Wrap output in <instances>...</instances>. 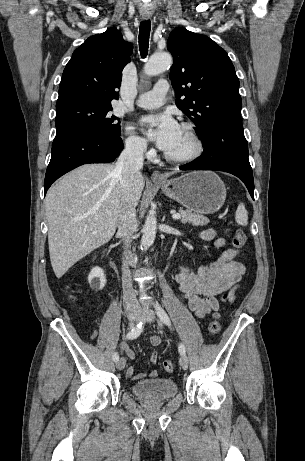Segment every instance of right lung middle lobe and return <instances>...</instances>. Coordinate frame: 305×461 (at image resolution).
<instances>
[{
  "label": "right lung middle lobe",
  "instance_id": "right-lung-middle-lobe-1",
  "mask_svg": "<svg viewBox=\"0 0 305 461\" xmlns=\"http://www.w3.org/2000/svg\"><path fill=\"white\" fill-rule=\"evenodd\" d=\"M56 133L65 130H79L120 137V121L109 111L110 103L78 102L56 107Z\"/></svg>",
  "mask_w": 305,
  "mask_h": 461
}]
</instances>
